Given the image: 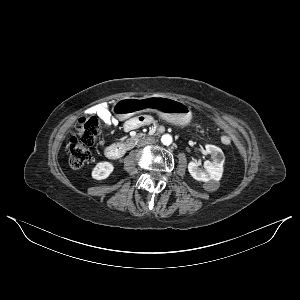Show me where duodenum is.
I'll use <instances>...</instances> for the list:
<instances>
[{
	"mask_svg": "<svg viewBox=\"0 0 300 300\" xmlns=\"http://www.w3.org/2000/svg\"><path fill=\"white\" fill-rule=\"evenodd\" d=\"M133 144L134 140L110 144L105 148L104 154L109 159L121 158Z\"/></svg>",
	"mask_w": 300,
	"mask_h": 300,
	"instance_id": "obj_1",
	"label": "duodenum"
}]
</instances>
